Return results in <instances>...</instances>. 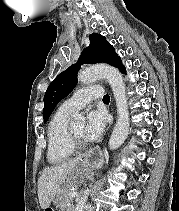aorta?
I'll return each mask as SVG.
<instances>
[{
  "instance_id": "obj_1",
  "label": "aorta",
  "mask_w": 179,
  "mask_h": 211,
  "mask_svg": "<svg viewBox=\"0 0 179 211\" xmlns=\"http://www.w3.org/2000/svg\"><path fill=\"white\" fill-rule=\"evenodd\" d=\"M100 79H106L113 91L116 101L118 118L109 140V148L111 150L119 148L126 140L129 133V112L126 96V86L121 73L114 67L105 64L95 65L83 69L78 74V81L83 84H90ZM75 121L84 122L81 115L75 116ZM90 190L87 189L78 200L75 211H83L87 202Z\"/></svg>"
}]
</instances>
